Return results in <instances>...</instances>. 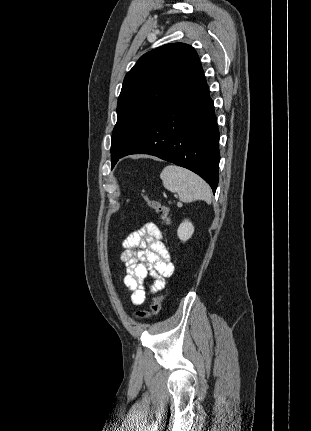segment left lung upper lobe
I'll return each mask as SVG.
<instances>
[{
  "label": "left lung upper lobe",
  "mask_w": 311,
  "mask_h": 431,
  "mask_svg": "<svg viewBox=\"0 0 311 431\" xmlns=\"http://www.w3.org/2000/svg\"><path fill=\"white\" fill-rule=\"evenodd\" d=\"M201 68L193 47L171 43L144 54L126 74L118 98L111 161L145 132L151 121Z\"/></svg>",
  "instance_id": "1"
}]
</instances>
